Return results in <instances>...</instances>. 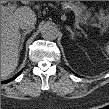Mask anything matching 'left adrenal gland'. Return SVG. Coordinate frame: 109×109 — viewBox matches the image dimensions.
Here are the masks:
<instances>
[{"instance_id": "left-adrenal-gland-1", "label": "left adrenal gland", "mask_w": 109, "mask_h": 109, "mask_svg": "<svg viewBox=\"0 0 109 109\" xmlns=\"http://www.w3.org/2000/svg\"><path fill=\"white\" fill-rule=\"evenodd\" d=\"M66 29L71 33V38L74 39L75 35H78L79 33H75L69 26H66Z\"/></svg>"}]
</instances>
